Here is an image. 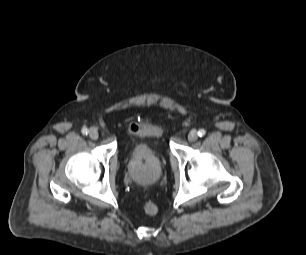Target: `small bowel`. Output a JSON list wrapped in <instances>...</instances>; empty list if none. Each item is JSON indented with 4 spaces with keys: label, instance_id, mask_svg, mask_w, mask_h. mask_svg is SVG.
I'll return each mask as SVG.
<instances>
[{
    "label": "small bowel",
    "instance_id": "c3829d8e",
    "mask_svg": "<svg viewBox=\"0 0 306 255\" xmlns=\"http://www.w3.org/2000/svg\"><path fill=\"white\" fill-rule=\"evenodd\" d=\"M133 129H134V127L130 130V132L133 131Z\"/></svg>",
    "mask_w": 306,
    "mask_h": 255
}]
</instances>
